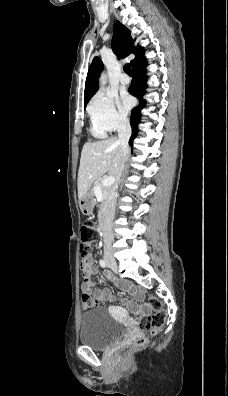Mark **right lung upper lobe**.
Segmentation results:
<instances>
[{
    "instance_id": "1",
    "label": "right lung upper lobe",
    "mask_w": 228,
    "mask_h": 396,
    "mask_svg": "<svg viewBox=\"0 0 228 396\" xmlns=\"http://www.w3.org/2000/svg\"><path fill=\"white\" fill-rule=\"evenodd\" d=\"M113 31L112 48L115 54L118 57H126L131 53L135 54V58L130 62V65L133 67L144 56V48L139 45L134 46V40L130 35V31L119 21L115 22ZM102 70V61L100 58L95 57L90 65L85 82L84 104H87L98 90V79Z\"/></svg>"
}]
</instances>
